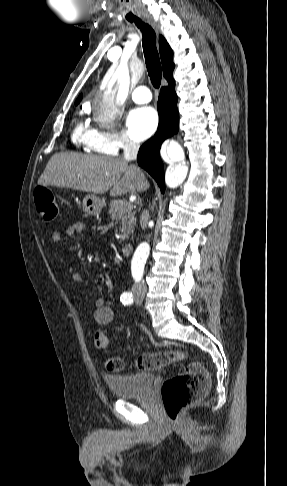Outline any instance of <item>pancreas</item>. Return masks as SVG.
<instances>
[{
    "label": "pancreas",
    "instance_id": "obj_1",
    "mask_svg": "<svg viewBox=\"0 0 287 486\" xmlns=\"http://www.w3.org/2000/svg\"><path fill=\"white\" fill-rule=\"evenodd\" d=\"M108 213L116 224L117 219H120V226L116 228V235L120 241L128 238V235L133 232L136 224L135 212H133V205L125 200H112Z\"/></svg>",
    "mask_w": 287,
    "mask_h": 486
}]
</instances>
